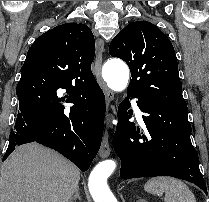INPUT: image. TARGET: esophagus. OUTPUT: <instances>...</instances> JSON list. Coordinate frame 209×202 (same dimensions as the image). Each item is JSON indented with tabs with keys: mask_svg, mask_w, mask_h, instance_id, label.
Here are the masks:
<instances>
[{
	"mask_svg": "<svg viewBox=\"0 0 209 202\" xmlns=\"http://www.w3.org/2000/svg\"><path fill=\"white\" fill-rule=\"evenodd\" d=\"M103 53H104V42L102 39H98L96 41V56H95V65H94L95 75L99 85L104 91L107 104L108 106H110L112 101L114 100V93L107 87V85L102 79L101 69L103 62ZM109 155H110V145L108 141V132L106 131L99 150V156L101 158H106Z\"/></svg>",
	"mask_w": 209,
	"mask_h": 202,
	"instance_id": "esophagus-1",
	"label": "esophagus"
}]
</instances>
